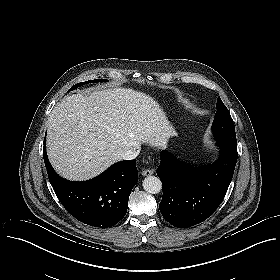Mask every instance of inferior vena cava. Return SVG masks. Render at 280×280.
I'll return each mask as SVG.
<instances>
[{
  "label": "inferior vena cava",
  "instance_id": "1",
  "mask_svg": "<svg viewBox=\"0 0 280 280\" xmlns=\"http://www.w3.org/2000/svg\"><path fill=\"white\" fill-rule=\"evenodd\" d=\"M139 147H132L120 154V158L124 160H132L135 159L139 154Z\"/></svg>",
  "mask_w": 280,
  "mask_h": 280
}]
</instances>
